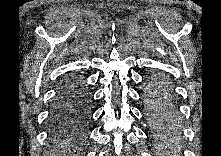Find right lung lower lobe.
Segmentation results:
<instances>
[{
    "instance_id": "right-lung-lower-lobe-1",
    "label": "right lung lower lobe",
    "mask_w": 221,
    "mask_h": 156,
    "mask_svg": "<svg viewBox=\"0 0 221 156\" xmlns=\"http://www.w3.org/2000/svg\"><path fill=\"white\" fill-rule=\"evenodd\" d=\"M91 111L90 91L78 77H70L58 89L53 100L49 126L52 131H76L88 123Z\"/></svg>"
}]
</instances>
